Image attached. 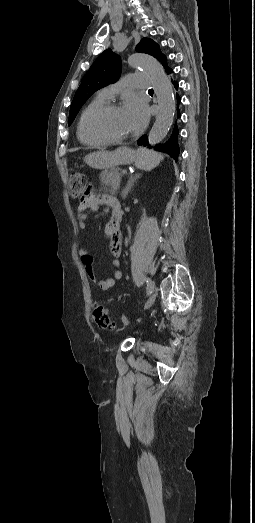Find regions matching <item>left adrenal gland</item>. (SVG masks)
<instances>
[{"mask_svg":"<svg viewBox=\"0 0 255 523\" xmlns=\"http://www.w3.org/2000/svg\"><path fill=\"white\" fill-rule=\"evenodd\" d=\"M138 178H140V174H134V176H130V178H128V182L124 188V190H122V198L123 200H125V198H127L129 192H131L133 186H135V182L136 180H138Z\"/></svg>","mask_w":255,"mask_h":523,"instance_id":"1","label":"left adrenal gland"}]
</instances>
